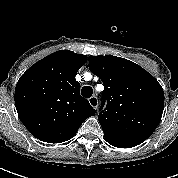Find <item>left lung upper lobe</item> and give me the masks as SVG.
Segmentation results:
<instances>
[{
    "label": "left lung upper lobe",
    "instance_id": "5c2ea615",
    "mask_svg": "<svg viewBox=\"0 0 178 178\" xmlns=\"http://www.w3.org/2000/svg\"><path fill=\"white\" fill-rule=\"evenodd\" d=\"M89 69L104 84L107 106L98 120L106 141L118 148L144 142L157 128L164 109V92L142 67L112 55L90 56Z\"/></svg>",
    "mask_w": 178,
    "mask_h": 178
}]
</instances>
